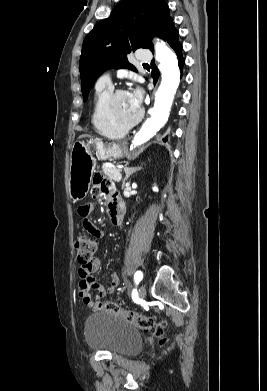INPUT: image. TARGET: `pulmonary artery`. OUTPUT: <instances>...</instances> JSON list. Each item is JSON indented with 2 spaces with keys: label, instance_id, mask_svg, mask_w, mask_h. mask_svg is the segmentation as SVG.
<instances>
[{
  "label": "pulmonary artery",
  "instance_id": "e3ab8cb5",
  "mask_svg": "<svg viewBox=\"0 0 267 391\" xmlns=\"http://www.w3.org/2000/svg\"><path fill=\"white\" fill-rule=\"evenodd\" d=\"M151 57H152V55H151L150 51H148V50H141L138 55V59L141 62H148L151 60ZM96 87L97 88H100V87H110L111 88L112 87L109 73H104L103 75H101L99 77V79L97 80V83H96Z\"/></svg>",
  "mask_w": 267,
  "mask_h": 391
}]
</instances>
